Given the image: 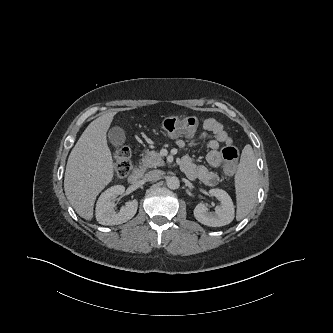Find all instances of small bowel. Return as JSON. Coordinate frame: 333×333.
I'll return each instance as SVG.
<instances>
[{"label":"small bowel","instance_id":"small-bowel-1","mask_svg":"<svg viewBox=\"0 0 333 333\" xmlns=\"http://www.w3.org/2000/svg\"><path fill=\"white\" fill-rule=\"evenodd\" d=\"M202 140H207L209 152L206 159L209 166L214 169L220 167L222 163L219 150L220 145L222 143L231 144L232 139L224 129V126L216 119H206L203 124V132L197 135H189L188 142L183 139H177L176 145L179 148H185L186 146L193 147L197 142ZM181 168L189 178L197 179L207 186H216L219 183V175L216 171L204 165L196 164L189 156L182 157Z\"/></svg>","mask_w":333,"mask_h":333}]
</instances>
